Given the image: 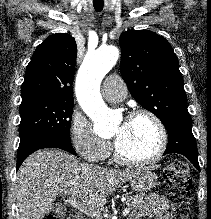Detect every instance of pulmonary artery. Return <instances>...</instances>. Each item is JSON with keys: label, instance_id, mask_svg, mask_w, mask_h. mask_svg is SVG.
Segmentation results:
<instances>
[{"label": "pulmonary artery", "instance_id": "pulmonary-artery-1", "mask_svg": "<svg viewBox=\"0 0 211 219\" xmlns=\"http://www.w3.org/2000/svg\"><path fill=\"white\" fill-rule=\"evenodd\" d=\"M102 88L103 97L111 102H119L127 95L126 85L117 74L107 77L103 82Z\"/></svg>", "mask_w": 211, "mask_h": 219}]
</instances>
